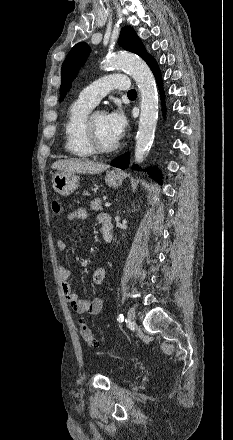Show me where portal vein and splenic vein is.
Returning a JSON list of instances; mask_svg holds the SVG:
<instances>
[{
  "mask_svg": "<svg viewBox=\"0 0 233 440\" xmlns=\"http://www.w3.org/2000/svg\"><path fill=\"white\" fill-rule=\"evenodd\" d=\"M110 206H111V203H109V202L105 203V207H110Z\"/></svg>",
  "mask_w": 233,
  "mask_h": 440,
  "instance_id": "1",
  "label": "portal vein and splenic vein"
}]
</instances>
